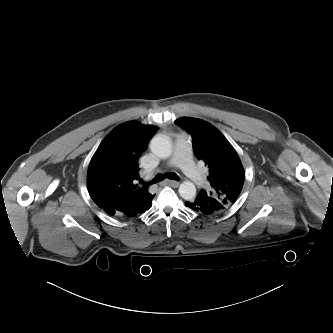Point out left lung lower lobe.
<instances>
[{"label":"left lung lower lobe","mask_w":333,"mask_h":333,"mask_svg":"<svg viewBox=\"0 0 333 333\" xmlns=\"http://www.w3.org/2000/svg\"><path fill=\"white\" fill-rule=\"evenodd\" d=\"M185 205L193 211L204 215L218 214L223 211L221 203L217 199L208 196L205 192H200L195 198L186 202Z\"/></svg>","instance_id":"0a47b994"}]
</instances>
